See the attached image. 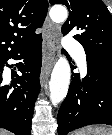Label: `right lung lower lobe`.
<instances>
[{"label":"right lung lower lobe","mask_w":112,"mask_h":135,"mask_svg":"<svg viewBox=\"0 0 112 135\" xmlns=\"http://www.w3.org/2000/svg\"><path fill=\"white\" fill-rule=\"evenodd\" d=\"M23 58L24 63H20L19 66L22 76L15 74L10 86L4 85L2 83L3 67H10L7 61L9 59L21 60ZM41 63L42 37L0 60L1 128L7 129L16 135H31L34 103L40 90L39 75Z\"/></svg>","instance_id":"obj_1"}]
</instances>
